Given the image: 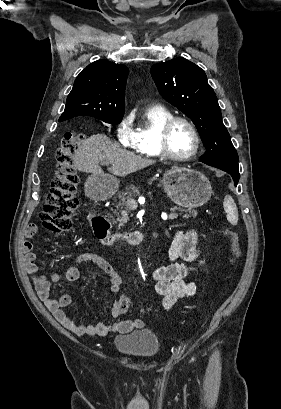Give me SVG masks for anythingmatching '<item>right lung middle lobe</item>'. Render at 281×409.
Instances as JSON below:
<instances>
[{
  "label": "right lung middle lobe",
  "instance_id": "obj_1",
  "mask_svg": "<svg viewBox=\"0 0 281 409\" xmlns=\"http://www.w3.org/2000/svg\"><path fill=\"white\" fill-rule=\"evenodd\" d=\"M106 123L118 124L122 121V118H98Z\"/></svg>",
  "mask_w": 281,
  "mask_h": 409
}]
</instances>
